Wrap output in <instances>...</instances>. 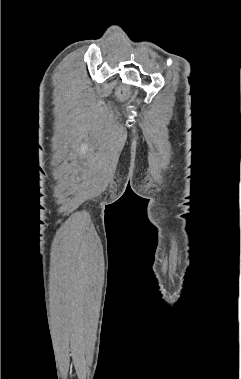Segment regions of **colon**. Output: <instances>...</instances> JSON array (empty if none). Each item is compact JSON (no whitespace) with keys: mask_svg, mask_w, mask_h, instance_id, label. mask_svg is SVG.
Returning <instances> with one entry per match:
<instances>
[{"mask_svg":"<svg viewBox=\"0 0 241 379\" xmlns=\"http://www.w3.org/2000/svg\"><path fill=\"white\" fill-rule=\"evenodd\" d=\"M119 96L122 97V98H124L126 96L125 91L124 90H120Z\"/></svg>","mask_w":241,"mask_h":379,"instance_id":"5ec220e1","label":"colon"}]
</instances>
